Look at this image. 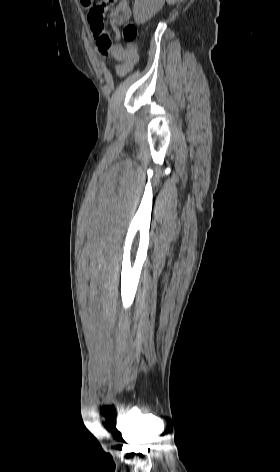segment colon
<instances>
[{"instance_id":"colon-1","label":"colon","mask_w":280,"mask_h":472,"mask_svg":"<svg viewBox=\"0 0 280 472\" xmlns=\"http://www.w3.org/2000/svg\"><path fill=\"white\" fill-rule=\"evenodd\" d=\"M93 0H83V2L90 6ZM118 0H102L96 5L90 8L88 14V21L92 24L103 25L104 24V13L106 8L115 4ZM122 35L127 43V48L130 51L135 50V39L137 37V28L132 22H126L122 29Z\"/></svg>"}]
</instances>
